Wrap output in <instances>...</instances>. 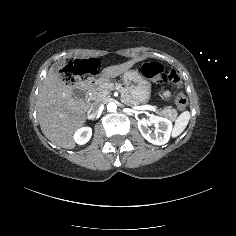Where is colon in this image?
Wrapping results in <instances>:
<instances>
[{
  "label": "colon",
  "instance_id": "obj_1",
  "mask_svg": "<svg viewBox=\"0 0 236 236\" xmlns=\"http://www.w3.org/2000/svg\"><path fill=\"white\" fill-rule=\"evenodd\" d=\"M93 63H74L66 65L61 70V77L65 84L72 85L76 79L88 70H95ZM140 72L147 79L156 83H172L181 90L182 82L179 74L175 70L165 71L158 62H145L140 65ZM188 100L185 94L180 91L176 96V105L179 110L187 107Z\"/></svg>",
  "mask_w": 236,
  "mask_h": 236
}]
</instances>
